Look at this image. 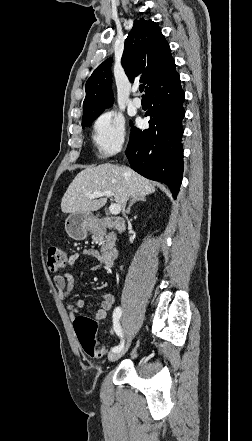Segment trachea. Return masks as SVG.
I'll list each match as a JSON object with an SVG mask.
<instances>
[{
    "instance_id": "obj_1",
    "label": "trachea",
    "mask_w": 252,
    "mask_h": 441,
    "mask_svg": "<svg viewBox=\"0 0 252 441\" xmlns=\"http://www.w3.org/2000/svg\"><path fill=\"white\" fill-rule=\"evenodd\" d=\"M143 90H144V85H140V86H139V91H140V92H143Z\"/></svg>"
}]
</instances>
